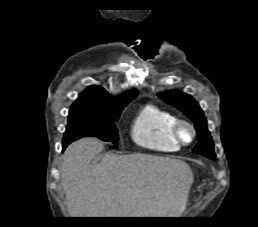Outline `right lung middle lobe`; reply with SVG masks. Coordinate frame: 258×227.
<instances>
[{
	"mask_svg": "<svg viewBox=\"0 0 258 227\" xmlns=\"http://www.w3.org/2000/svg\"><path fill=\"white\" fill-rule=\"evenodd\" d=\"M129 102L113 108L72 105L68 115V125L64 133L63 144H70L82 137H97L102 141L113 143L114 145L110 148H115L119 138L114 121L118 119L119 113Z\"/></svg>",
	"mask_w": 258,
	"mask_h": 227,
	"instance_id": "obj_1",
	"label": "right lung middle lobe"
}]
</instances>
